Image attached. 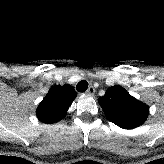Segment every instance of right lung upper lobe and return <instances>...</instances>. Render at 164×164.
<instances>
[{
    "instance_id": "obj_1",
    "label": "right lung upper lobe",
    "mask_w": 164,
    "mask_h": 164,
    "mask_svg": "<svg viewBox=\"0 0 164 164\" xmlns=\"http://www.w3.org/2000/svg\"><path fill=\"white\" fill-rule=\"evenodd\" d=\"M76 95L74 88L68 84L52 87L37 108V118L44 123L63 119Z\"/></svg>"
}]
</instances>
